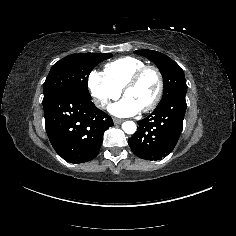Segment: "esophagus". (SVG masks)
Listing matches in <instances>:
<instances>
[{
    "label": "esophagus",
    "mask_w": 236,
    "mask_h": 236,
    "mask_svg": "<svg viewBox=\"0 0 236 236\" xmlns=\"http://www.w3.org/2000/svg\"><path fill=\"white\" fill-rule=\"evenodd\" d=\"M123 120L122 119H118V118H114L113 119V122L115 123V124H119V123H121Z\"/></svg>",
    "instance_id": "esophagus-1"
}]
</instances>
